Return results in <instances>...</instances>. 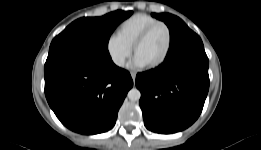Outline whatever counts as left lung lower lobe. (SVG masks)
<instances>
[{"label":"left lung lower lobe","mask_w":261,"mask_h":150,"mask_svg":"<svg viewBox=\"0 0 261 150\" xmlns=\"http://www.w3.org/2000/svg\"><path fill=\"white\" fill-rule=\"evenodd\" d=\"M208 66L201 38L188 30L171 43L161 65L137 74L147 129L170 134L197 120L209 89Z\"/></svg>","instance_id":"obj_1"}]
</instances>
